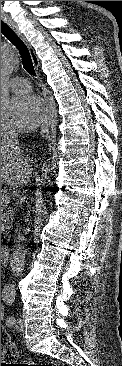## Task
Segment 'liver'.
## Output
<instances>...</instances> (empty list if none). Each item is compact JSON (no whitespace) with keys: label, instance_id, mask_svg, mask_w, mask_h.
<instances>
[{"label":"liver","instance_id":"liver-1","mask_svg":"<svg viewBox=\"0 0 122 366\" xmlns=\"http://www.w3.org/2000/svg\"><path fill=\"white\" fill-rule=\"evenodd\" d=\"M31 174L30 160L21 149L8 147L6 140L1 136V184L23 185L28 182Z\"/></svg>","mask_w":122,"mask_h":366}]
</instances>
